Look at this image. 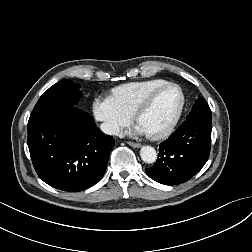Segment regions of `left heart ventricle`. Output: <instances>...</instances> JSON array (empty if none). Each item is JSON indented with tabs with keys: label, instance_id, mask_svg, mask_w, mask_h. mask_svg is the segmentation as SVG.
Returning <instances> with one entry per match:
<instances>
[{
	"label": "left heart ventricle",
	"instance_id": "b2bd125f",
	"mask_svg": "<svg viewBox=\"0 0 252 252\" xmlns=\"http://www.w3.org/2000/svg\"><path fill=\"white\" fill-rule=\"evenodd\" d=\"M181 104V93L176 87L162 90L152 105L140 116L141 123L149 133L165 129L173 120Z\"/></svg>",
	"mask_w": 252,
	"mask_h": 252
}]
</instances>
